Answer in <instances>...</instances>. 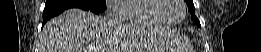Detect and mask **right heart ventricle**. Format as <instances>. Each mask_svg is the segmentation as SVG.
I'll use <instances>...</instances> for the list:
<instances>
[{
  "label": "right heart ventricle",
  "instance_id": "e07e8e85",
  "mask_svg": "<svg viewBox=\"0 0 261 52\" xmlns=\"http://www.w3.org/2000/svg\"><path fill=\"white\" fill-rule=\"evenodd\" d=\"M159 0H125L115 7L120 20L137 24H166L157 8Z\"/></svg>",
  "mask_w": 261,
  "mask_h": 52
}]
</instances>
